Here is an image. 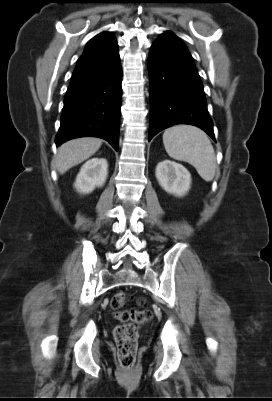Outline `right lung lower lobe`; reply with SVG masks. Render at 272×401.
<instances>
[{
    "mask_svg": "<svg viewBox=\"0 0 272 401\" xmlns=\"http://www.w3.org/2000/svg\"><path fill=\"white\" fill-rule=\"evenodd\" d=\"M122 70L118 45L75 68L67 89L56 145L78 137L107 140L119 146Z\"/></svg>",
    "mask_w": 272,
    "mask_h": 401,
    "instance_id": "right-lung-lower-lobe-1",
    "label": "right lung lower lobe"
}]
</instances>
